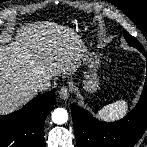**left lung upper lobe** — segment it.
<instances>
[{"instance_id": "1", "label": "left lung upper lobe", "mask_w": 147, "mask_h": 147, "mask_svg": "<svg viewBox=\"0 0 147 147\" xmlns=\"http://www.w3.org/2000/svg\"><path fill=\"white\" fill-rule=\"evenodd\" d=\"M126 40L131 46L137 48L138 50H143L142 45L135 38L128 36L126 37Z\"/></svg>"}]
</instances>
